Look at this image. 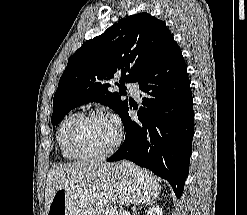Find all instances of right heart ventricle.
Masks as SVG:
<instances>
[{
	"label": "right heart ventricle",
	"mask_w": 247,
	"mask_h": 215,
	"mask_svg": "<svg viewBox=\"0 0 247 215\" xmlns=\"http://www.w3.org/2000/svg\"><path fill=\"white\" fill-rule=\"evenodd\" d=\"M78 117L77 113H71L67 115L59 124L57 129V144L61 156L67 161H77L79 160L75 157L69 148V141L68 135L71 125L73 124L74 120Z\"/></svg>",
	"instance_id": "e07e8e85"
}]
</instances>
